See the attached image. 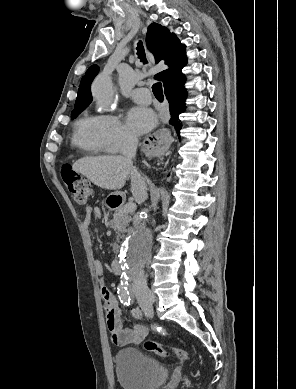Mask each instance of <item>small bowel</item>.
I'll return each mask as SVG.
<instances>
[{
  "label": "small bowel",
  "instance_id": "1",
  "mask_svg": "<svg viewBox=\"0 0 296 389\" xmlns=\"http://www.w3.org/2000/svg\"><path fill=\"white\" fill-rule=\"evenodd\" d=\"M99 208L87 207L83 218L86 231L91 224L101 218ZM101 272V266H99ZM102 298L106 304V323L113 343L117 346L136 345L141 343L148 335V329L143 325L124 327L121 321V311L115 295L105 286L101 289Z\"/></svg>",
  "mask_w": 296,
  "mask_h": 389
}]
</instances>
